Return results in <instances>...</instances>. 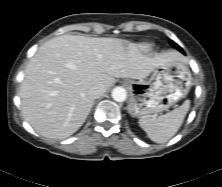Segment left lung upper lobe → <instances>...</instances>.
<instances>
[{
	"instance_id": "left-lung-upper-lobe-1",
	"label": "left lung upper lobe",
	"mask_w": 222,
	"mask_h": 187,
	"mask_svg": "<svg viewBox=\"0 0 222 187\" xmlns=\"http://www.w3.org/2000/svg\"><path fill=\"white\" fill-rule=\"evenodd\" d=\"M170 44H171L174 48L178 49L179 51H182L181 47L178 46L174 41L171 40V41H170Z\"/></svg>"
}]
</instances>
